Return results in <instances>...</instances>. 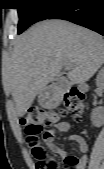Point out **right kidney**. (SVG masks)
Instances as JSON below:
<instances>
[{"label": "right kidney", "instance_id": "right-kidney-1", "mask_svg": "<svg viewBox=\"0 0 104 169\" xmlns=\"http://www.w3.org/2000/svg\"><path fill=\"white\" fill-rule=\"evenodd\" d=\"M96 85L103 87L104 85V69H101L96 78ZM92 124L96 127H100L104 123V112L98 108L94 109L91 114Z\"/></svg>", "mask_w": 104, "mask_h": 169}]
</instances>
